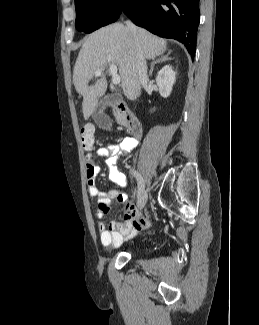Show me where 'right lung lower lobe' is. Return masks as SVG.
Instances as JSON below:
<instances>
[{
	"label": "right lung lower lobe",
	"instance_id": "98d812e1",
	"mask_svg": "<svg viewBox=\"0 0 259 325\" xmlns=\"http://www.w3.org/2000/svg\"><path fill=\"white\" fill-rule=\"evenodd\" d=\"M200 0H127L122 13L134 24L182 42L190 55L196 51Z\"/></svg>",
	"mask_w": 259,
	"mask_h": 325
}]
</instances>
